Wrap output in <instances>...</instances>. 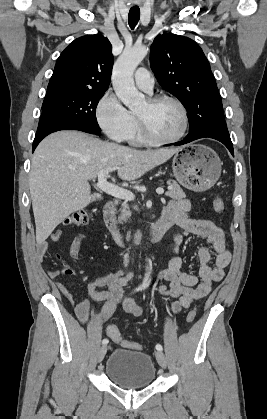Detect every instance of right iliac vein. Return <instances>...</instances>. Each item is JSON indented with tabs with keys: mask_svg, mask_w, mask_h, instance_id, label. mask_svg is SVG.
<instances>
[{
	"mask_svg": "<svg viewBox=\"0 0 267 419\" xmlns=\"http://www.w3.org/2000/svg\"><path fill=\"white\" fill-rule=\"evenodd\" d=\"M107 352V345H103L100 347L98 352V362H101Z\"/></svg>",
	"mask_w": 267,
	"mask_h": 419,
	"instance_id": "1",
	"label": "right iliac vein"
}]
</instances>
